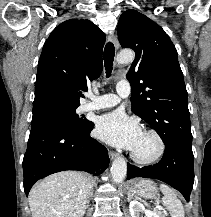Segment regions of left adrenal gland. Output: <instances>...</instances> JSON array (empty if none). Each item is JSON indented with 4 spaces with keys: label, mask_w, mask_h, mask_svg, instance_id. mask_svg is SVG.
I'll list each match as a JSON object with an SVG mask.
<instances>
[{
    "label": "left adrenal gland",
    "mask_w": 211,
    "mask_h": 217,
    "mask_svg": "<svg viewBox=\"0 0 211 217\" xmlns=\"http://www.w3.org/2000/svg\"><path fill=\"white\" fill-rule=\"evenodd\" d=\"M132 198H133V194H131V192H128V198H127V200H130Z\"/></svg>",
    "instance_id": "left-adrenal-gland-1"
}]
</instances>
